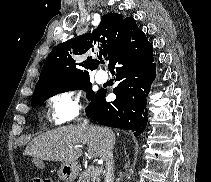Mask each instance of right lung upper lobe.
Here are the masks:
<instances>
[{
  "label": "right lung upper lobe",
  "mask_w": 211,
  "mask_h": 182,
  "mask_svg": "<svg viewBox=\"0 0 211 182\" xmlns=\"http://www.w3.org/2000/svg\"><path fill=\"white\" fill-rule=\"evenodd\" d=\"M140 32L131 17L123 18L118 13L104 15L92 33L60 43L51 51L41 70L34 94L51 85L89 76L98 67L99 61L83 56L93 52L97 42L101 43V47L98 45V58L101 60L102 55L105 56L110 68L119 48L131 42Z\"/></svg>",
  "instance_id": "cb5924a9"
}]
</instances>
